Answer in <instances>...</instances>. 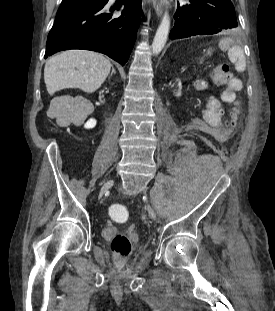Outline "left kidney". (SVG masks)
Returning <instances> with one entry per match:
<instances>
[{
    "label": "left kidney",
    "mask_w": 275,
    "mask_h": 311,
    "mask_svg": "<svg viewBox=\"0 0 275 311\" xmlns=\"http://www.w3.org/2000/svg\"><path fill=\"white\" fill-rule=\"evenodd\" d=\"M177 81H178V82H174V83L172 84V87H173L174 89H179V88H180V89L178 90V92H177V95H176V96L179 98V97L181 96V84H180L181 81H180V79H178Z\"/></svg>",
    "instance_id": "obj_1"
}]
</instances>
